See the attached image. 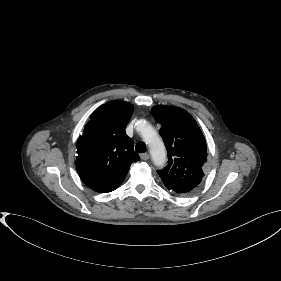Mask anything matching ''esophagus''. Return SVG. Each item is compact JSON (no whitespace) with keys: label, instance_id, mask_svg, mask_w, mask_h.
Segmentation results:
<instances>
[{"label":"esophagus","instance_id":"esophagus-1","mask_svg":"<svg viewBox=\"0 0 281 281\" xmlns=\"http://www.w3.org/2000/svg\"><path fill=\"white\" fill-rule=\"evenodd\" d=\"M141 160L146 161L149 159V154L148 153H143L140 155Z\"/></svg>","mask_w":281,"mask_h":281}]
</instances>
